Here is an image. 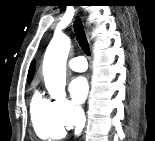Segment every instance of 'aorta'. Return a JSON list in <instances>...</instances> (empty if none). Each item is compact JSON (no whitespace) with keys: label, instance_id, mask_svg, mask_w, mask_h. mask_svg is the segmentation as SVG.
<instances>
[{"label":"aorta","instance_id":"aorta-1","mask_svg":"<svg viewBox=\"0 0 155 141\" xmlns=\"http://www.w3.org/2000/svg\"><path fill=\"white\" fill-rule=\"evenodd\" d=\"M71 41L63 33H55L50 41L43 60V75L46 89L56 100L65 99L66 61Z\"/></svg>","mask_w":155,"mask_h":141}]
</instances>
